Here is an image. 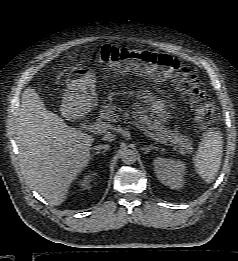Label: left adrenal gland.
Here are the masks:
<instances>
[{"label":"left adrenal gland","instance_id":"a2214340","mask_svg":"<svg viewBox=\"0 0 238 261\" xmlns=\"http://www.w3.org/2000/svg\"><path fill=\"white\" fill-rule=\"evenodd\" d=\"M158 150L159 149V147H157V146H153V145H149V146H144L143 148H142V150L144 151V154H147L148 152H150L151 150Z\"/></svg>","mask_w":238,"mask_h":261}]
</instances>
